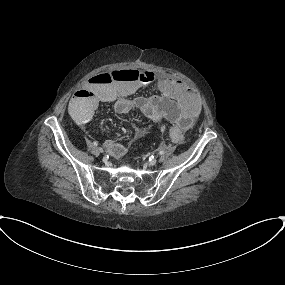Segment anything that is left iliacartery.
<instances>
[{
    "instance_id": "left-iliac-artery-1",
    "label": "left iliac artery",
    "mask_w": 285,
    "mask_h": 285,
    "mask_svg": "<svg viewBox=\"0 0 285 285\" xmlns=\"http://www.w3.org/2000/svg\"><path fill=\"white\" fill-rule=\"evenodd\" d=\"M159 154H161V155H162V154H163V151H160V152H159ZM150 160H151V159H150Z\"/></svg>"
}]
</instances>
